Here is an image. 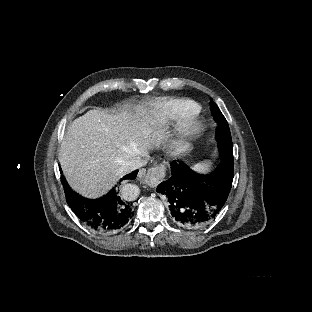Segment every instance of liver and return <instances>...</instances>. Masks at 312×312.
Listing matches in <instances>:
<instances>
[{"instance_id": "liver-1", "label": "liver", "mask_w": 312, "mask_h": 312, "mask_svg": "<svg viewBox=\"0 0 312 312\" xmlns=\"http://www.w3.org/2000/svg\"><path fill=\"white\" fill-rule=\"evenodd\" d=\"M125 105L119 112L89 110L67 128L58 160L69 186L83 197L106 194L126 172V163L147 157L167 138L159 111Z\"/></svg>"}]
</instances>
